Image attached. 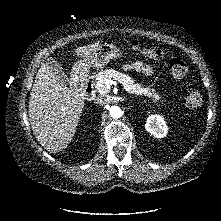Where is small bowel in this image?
Returning <instances> with one entry per match:
<instances>
[{"label": "small bowel", "mask_w": 221, "mask_h": 221, "mask_svg": "<svg viewBox=\"0 0 221 221\" xmlns=\"http://www.w3.org/2000/svg\"><path fill=\"white\" fill-rule=\"evenodd\" d=\"M124 68L126 70H135L137 72H142L146 75H153L154 70L151 66L144 64L143 62L137 61L132 64H126L124 65Z\"/></svg>", "instance_id": "1"}]
</instances>
